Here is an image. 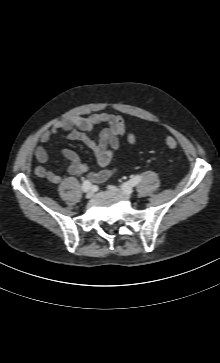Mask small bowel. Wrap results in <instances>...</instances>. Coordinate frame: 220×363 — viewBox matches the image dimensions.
Listing matches in <instances>:
<instances>
[{
    "mask_svg": "<svg viewBox=\"0 0 220 363\" xmlns=\"http://www.w3.org/2000/svg\"><path fill=\"white\" fill-rule=\"evenodd\" d=\"M100 124H105L107 127L99 133L98 140L95 141L91 133L94 127ZM60 130L67 132L69 139L81 141L95 153L97 163L102 168L97 172L91 171L90 167L81 161L74 150L69 148L61 150L62 156L70 162L68 167L69 173L74 176L85 174L93 183H102L115 172V167H107L110 162L108 153L118 150L120 137L126 136L131 144L136 142L135 136L128 131L124 119L112 113H92L88 116H72L60 120L42 133L39 142L41 144L49 143L52 137ZM34 155L41 164L46 163L48 160V152L41 145L35 148ZM34 172L38 177L46 178L53 184H58L61 181V177L58 174L43 166H37Z\"/></svg>",
    "mask_w": 220,
    "mask_h": 363,
    "instance_id": "c3829d8e",
    "label": "small bowel"
}]
</instances>
